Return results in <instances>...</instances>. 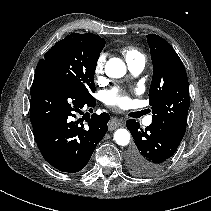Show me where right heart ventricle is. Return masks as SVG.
I'll return each instance as SVG.
<instances>
[{"label":"right heart ventricle","mask_w":211,"mask_h":211,"mask_svg":"<svg viewBox=\"0 0 211 211\" xmlns=\"http://www.w3.org/2000/svg\"><path fill=\"white\" fill-rule=\"evenodd\" d=\"M121 51L127 62L143 57L142 54L133 47H125Z\"/></svg>","instance_id":"e07e8e85"}]
</instances>
